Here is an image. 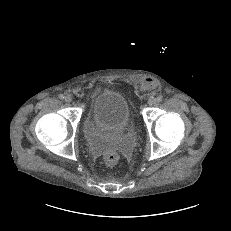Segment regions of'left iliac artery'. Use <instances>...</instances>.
Wrapping results in <instances>:
<instances>
[{"mask_svg": "<svg viewBox=\"0 0 231 231\" xmlns=\"http://www.w3.org/2000/svg\"><path fill=\"white\" fill-rule=\"evenodd\" d=\"M161 101H162V97H161V96H158V97L156 98V102L160 103Z\"/></svg>", "mask_w": 231, "mask_h": 231, "instance_id": "obj_1", "label": "left iliac artery"}]
</instances>
